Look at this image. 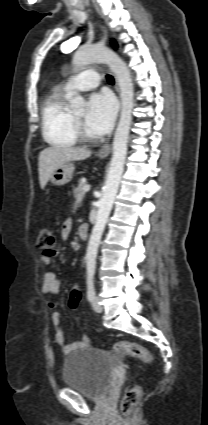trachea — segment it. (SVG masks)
Instances as JSON below:
<instances>
[{"instance_id":"1","label":"trachea","mask_w":208,"mask_h":425,"mask_svg":"<svg viewBox=\"0 0 208 425\" xmlns=\"http://www.w3.org/2000/svg\"><path fill=\"white\" fill-rule=\"evenodd\" d=\"M107 81L109 84H114V78L111 75H107Z\"/></svg>"}]
</instances>
